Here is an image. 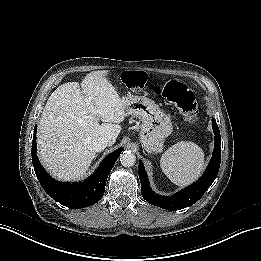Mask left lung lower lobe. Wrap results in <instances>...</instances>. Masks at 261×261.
I'll use <instances>...</instances> for the list:
<instances>
[{
    "mask_svg": "<svg viewBox=\"0 0 261 261\" xmlns=\"http://www.w3.org/2000/svg\"><path fill=\"white\" fill-rule=\"evenodd\" d=\"M212 128L215 134V145L211 161L203 176L173 197H165L155 194L148 183L146 172L142 162H139V178L141 182V193L143 198L150 204L159 206L166 210H179L191 206L197 202L215 180L221 160V136L216 120L212 119Z\"/></svg>",
    "mask_w": 261,
    "mask_h": 261,
    "instance_id": "obj_1",
    "label": "left lung lower lobe"
}]
</instances>
